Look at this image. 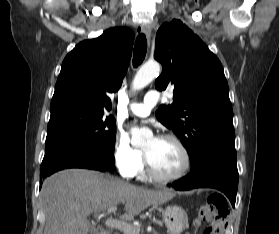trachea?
<instances>
[{
	"label": "trachea",
	"mask_w": 279,
	"mask_h": 234,
	"mask_svg": "<svg viewBox=\"0 0 279 234\" xmlns=\"http://www.w3.org/2000/svg\"><path fill=\"white\" fill-rule=\"evenodd\" d=\"M147 52V40L146 36L141 33L138 35L135 47H134V55H133V66L138 67L144 60Z\"/></svg>",
	"instance_id": "obj_1"
}]
</instances>
